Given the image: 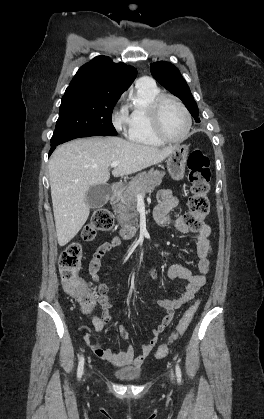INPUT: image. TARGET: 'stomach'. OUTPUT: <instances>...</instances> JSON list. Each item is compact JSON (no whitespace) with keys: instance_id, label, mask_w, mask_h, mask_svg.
<instances>
[{"instance_id":"stomach-1","label":"stomach","mask_w":264,"mask_h":419,"mask_svg":"<svg viewBox=\"0 0 264 419\" xmlns=\"http://www.w3.org/2000/svg\"><path fill=\"white\" fill-rule=\"evenodd\" d=\"M189 147L177 144L173 152L168 156L167 169L174 180H181L184 177Z\"/></svg>"}]
</instances>
